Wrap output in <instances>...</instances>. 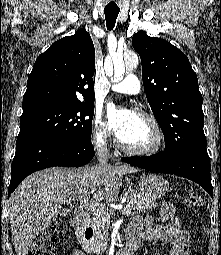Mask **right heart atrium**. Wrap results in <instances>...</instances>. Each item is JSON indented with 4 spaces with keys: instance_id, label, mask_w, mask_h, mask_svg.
Returning a JSON list of instances; mask_svg holds the SVG:
<instances>
[{
    "instance_id": "d8ad5b80",
    "label": "right heart atrium",
    "mask_w": 221,
    "mask_h": 255,
    "mask_svg": "<svg viewBox=\"0 0 221 255\" xmlns=\"http://www.w3.org/2000/svg\"><path fill=\"white\" fill-rule=\"evenodd\" d=\"M93 144L98 149L107 146L109 132L106 123L102 120L100 114H96L93 121Z\"/></svg>"
}]
</instances>
